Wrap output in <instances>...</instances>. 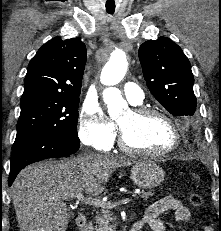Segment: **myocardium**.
<instances>
[{
    "label": "myocardium",
    "instance_id": "obj_1",
    "mask_svg": "<svg viewBox=\"0 0 221 231\" xmlns=\"http://www.w3.org/2000/svg\"><path fill=\"white\" fill-rule=\"evenodd\" d=\"M131 113L134 116V118L137 120H141L149 116H159L165 119L173 128L175 141L173 146L165 151L154 152V151L145 150L132 144L126 135L125 130L118 124V129H119L118 144L122 150L132 154H140V155H146L155 158H163L172 154L180 147L181 139H182L181 131L178 126V123L176 122L174 117L171 116L169 113L158 108L147 107V106L134 107L131 110Z\"/></svg>",
    "mask_w": 221,
    "mask_h": 231
}]
</instances>
